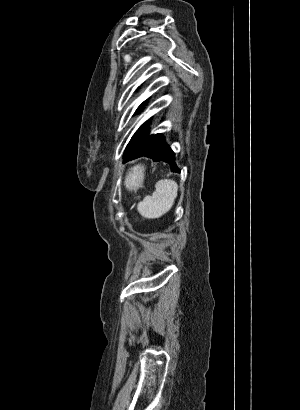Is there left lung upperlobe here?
<instances>
[{
    "label": "left lung upper lobe",
    "instance_id": "obj_1",
    "mask_svg": "<svg viewBox=\"0 0 300 410\" xmlns=\"http://www.w3.org/2000/svg\"><path fill=\"white\" fill-rule=\"evenodd\" d=\"M143 105L144 103L141 104L138 109H140ZM144 126L145 124H143L139 128V130L133 135L131 141L129 142L126 148L124 159L134 154L150 139L151 136H148V130H146Z\"/></svg>",
    "mask_w": 300,
    "mask_h": 410
}]
</instances>
